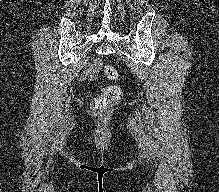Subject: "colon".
I'll return each mask as SVG.
<instances>
[{"instance_id": "obj_1", "label": "colon", "mask_w": 219, "mask_h": 192, "mask_svg": "<svg viewBox=\"0 0 219 192\" xmlns=\"http://www.w3.org/2000/svg\"><path fill=\"white\" fill-rule=\"evenodd\" d=\"M104 74L107 78L114 80L118 76V72L115 67L106 65L104 66ZM122 96V91L117 85H109L104 90L100 97H98L92 105L94 114L103 115L107 113L113 104L117 102Z\"/></svg>"}]
</instances>
